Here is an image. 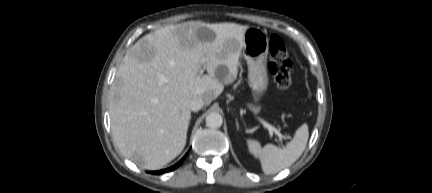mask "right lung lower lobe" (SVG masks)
<instances>
[{
    "instance_id": "98d812e1",
    "label": "right lung lower lobe",
    "mask_w": 432,
    "mask_h": 193,
    "mask_svg": "<svg viewBox=\"0 0 432 193\" xmlns=\"http://www.w3.org/2000/svg\"><path fill=\"white\" fill-rule=\"evenodd\" d=\"M186 156H187V154L178 163H176L174 166H172V167H170L168 169H164V170H160V171H151L150 173H152V174H163L165 172L172 171V170L176 169L183 162V160L185 159Z\"/></svg>"
}]
</instances>
